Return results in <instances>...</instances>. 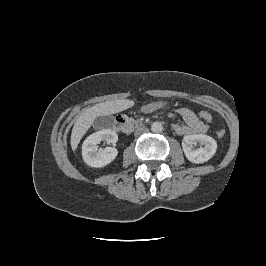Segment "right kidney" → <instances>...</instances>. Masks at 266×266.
I'll list each match as a JSON object with an SVG mask.
<instances>
[{"label": "right kidney", "instance_id": "ca27d5eb", "mask_svg": "<svg viewBox=\"0 0 266 266\" xmlns=\"http://www.w3.org/2000/svg\"><path fill=\"white\" fill-rule=\"evenodd\" d=\"M103 140L107 143H116L118 135L111 129H103L87 137L82 146V157L87 165L101 168L116 158L118 151L114 147H106L101 151L98 150V144Z\"/></svg>", "mask_w": 266, "mask_h": 266}]
</instances>
